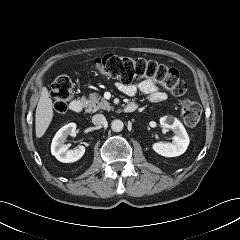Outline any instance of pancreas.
I'll list each match as a JSON object with an SVG mask.
<instances>
[{
  "label": "pancreas",
  "instance_id": "obj_1",
  "mask_svg": "<svg viewBox=\"0 0 240 240\" xmlns=\"http://www.w3.org/2000/svg\"><path fill=\"white\" fill-rule=\"evenodd\" d=\"M81 100L85 102V106L87 107L86 111L89 113H94L98 110L112 109L110 103L107 102L105 99H101L97 93L90 94L88 99L82 97Z\"/></svg>",
  "mask_w": 240,
  "mask_h": 240
}]
</instances>
